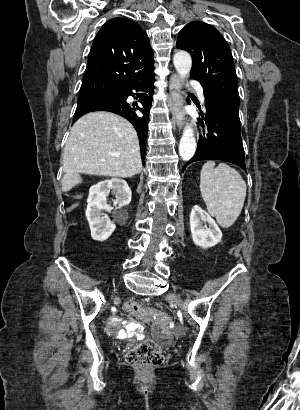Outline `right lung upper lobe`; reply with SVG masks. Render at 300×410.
<instances>
[{
	"label": "right lung upper lobe",
	"instance_id": "right-lung-upper-lobe-1",
	"mask_svg": "<svg viewBox=\"0 0 300 410\" xmlns=\"http://www.w3.org/2000/svg\"><path fill=\"white\" fill-rule=\"evenodd\" d=\"M153 51L142 28L127 18L107 21L92 44L83 82L121 88L153 73Z\"/></svg>",
	"mask_w": 300,
	"mask_h": 410
}]
</instances>
